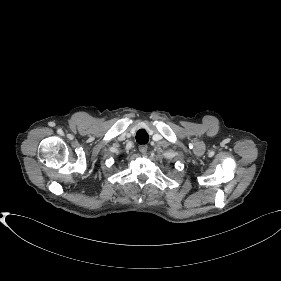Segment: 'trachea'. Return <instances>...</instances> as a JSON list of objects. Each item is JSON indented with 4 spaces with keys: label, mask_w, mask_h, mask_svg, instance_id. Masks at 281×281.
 Returning a JSON list of instances; mask_svg holds the SVG:
<instances>
[{
    "label": "trachea",
    "mask_w": 281,
    "mask_h": 281,
    "mask_svg": "<svg viewBox=\"0 0 281 281\" xmlns=\"http://www.w3.org/2000/svg\"><path fill=\"white\" fill-rule=\"evenodd\" d=\"M136 141L139 144H146V143H148V141H149L148 133L145 130L140 129L137 132V134H136Z\"/></svg>",
    "instance_id": "3493384b"
}]
</instances>
